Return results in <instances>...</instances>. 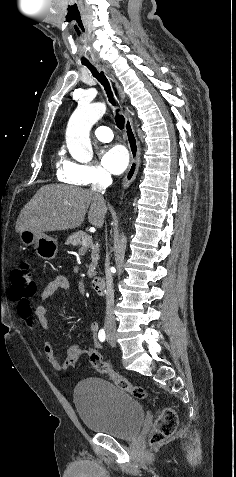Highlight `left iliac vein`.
Returning <instances> with one entry per match:
<instances>
[{"label": "left iliac vein", "mask_w": 236, "mask_h": 477, "mask_svg": "<svg viewBox=\"0 0 236 477\" xmlns=\"http://www.w3.org/2000/svg\"><path fill=\"white\" fill-rule=\"evenodd\" d=\"M109 343H110V345H111L112 347H114V346H115V342H111V341H109Z\"/></svg>", "instance_id": "4c4485c4"}]
</instances>
